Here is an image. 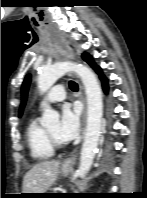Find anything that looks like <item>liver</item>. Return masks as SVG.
<instances>
[{
  "label": "liver",
  "instance_id": "liver-1",
  "mask_svg": "<svg viewBox=\"0 0 147 198\" xmlns=\"http://www.w3.org/2000/svg\"><path fill=\"white\" fill-rule=\"evenodd\" d=\"M59 161H43L34 165L24 176L23 193H45L56 181Z\"/></svg>",
  "mask_w": 147,
  "mask_h": 198
}]
</instances>
